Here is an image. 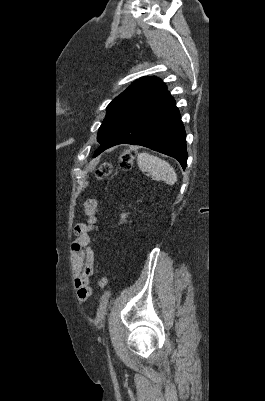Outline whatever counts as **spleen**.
Here are the masks:
<instances>
[{
	"instance_id": "obj_1",
	"label": "spleen",
	"mask_w": 265,
	"mask_h": 401,
	"mask_svg": "<svg viewBox=\"0 0 265 401\" xmlns=\"http://www.w3.org/2000/svg\"><path fill=\"white\" fill-rule=\"evenodd\" d=\"M138 166L143 172H150L153 180H164L166 184H175L177 174L166 160L153 156L149 152H139L137 156Z\"/></svg>"
}]
</instances>
